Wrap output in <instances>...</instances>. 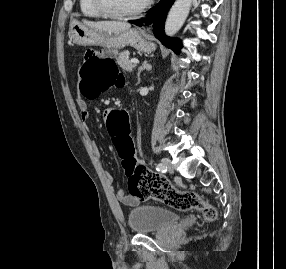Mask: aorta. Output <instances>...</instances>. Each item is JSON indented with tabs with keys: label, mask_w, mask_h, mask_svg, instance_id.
Listing matches in <instances>:
<instances>
[{
	"label": "aorta",
	"mask_w": 286,
	"mask_h": 269,
	"mask_svg": "<svg viewBox=\"0 0 286 269\" xmlns=\"http://www.w3.org/2000/svg\"><path fill=\"white\" fill-rule=\"evenodd\" d=\"M192 0H176L170 9L166 23H165V33L168 36L175 35L180 28L183 26L190 8Z\"/></svg>",
	"instance_id": "aorta-1"
}]
</instances>
